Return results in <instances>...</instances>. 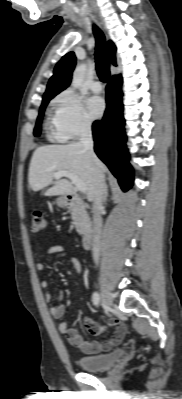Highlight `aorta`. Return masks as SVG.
I'll list each match as a JSON object with an SVG mask.
<instances>
[{"mask_svg": "<svg viewBox=\"0 0 182 399\" xmlns=\"http://www.w3.org/2000/svg\"><path fill=\"white\" fill-rule=\"evenodd\" d=\"M86 69H87V67L84 63L78 65L75 68V70L73 72V76H72V82H71V86L74 90L78 89L81 86V84L83 83Z\"/></svg>", "mask_w": 182, "mask_h": 399, "instance_id": "1", "label": "aorta"}]
</instances>
